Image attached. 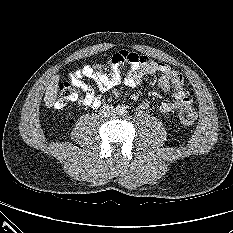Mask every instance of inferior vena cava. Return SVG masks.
Segmentation results:
<instances>
[{
    "label": "inferior vena cava",
    "instance_id": "602c4592",
    "mask_svg": "<svg viewBox=\"0 0 233 233\" xmlns=\"http://www.w3.org/2000/svg\"><path fill=\"white\" fill-rule=\"evenodd\" d=\"M108 110H110L109 114L105 117H109V116H112L113 115V107H108L107 108ZM101 113H105V109H102L101 110Z\"/></svg>",
    "mask_w": 233,
    "mask_h": 233
}]
</instances>
